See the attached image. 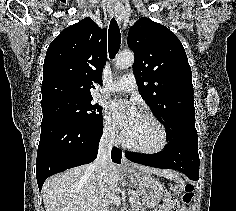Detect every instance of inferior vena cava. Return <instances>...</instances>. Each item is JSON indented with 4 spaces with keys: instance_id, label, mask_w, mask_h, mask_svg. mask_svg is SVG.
I'll use <instances>...</instances> for the list:
<instances>
[{
    "instance_id": "inferior-vena-cava-1",
    "label": "inferior vena cava",
    "mask_w": 236,
    "mask_h": 211,
    "mask_svg": "<svg viewBox=\"0 0 236 211\" xmlns=\"http://www.w3.org/2000/svg\"><path fill=\"white\" fill-rule=\"evenodd\" d=\"M114 139H115L114 131L104 132L99 143V151L97 158L89 167L90 169L94 170L97 173V178L99 180H103L106 177L107 171L110 165L112 164L111 151ZM99 211H107V204L105 202L101 204Z\"/></svg>"
}]
</instances>
